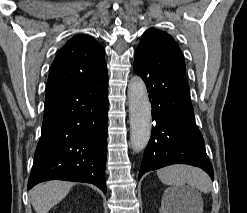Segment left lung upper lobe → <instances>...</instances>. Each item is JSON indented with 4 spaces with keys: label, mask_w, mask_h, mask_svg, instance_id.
Wrapping results in <instances>:
<instances>
[{
    "label": "left lung upper lobe",
    "mask_w": 247,
    "mask_h": 213,
    "mask_svg": "<svg viewBox=\"0 0 247 213\" xmlns=\"http://www.w3.org/2000/svg\"><path fill=\"white\" fill-rule=\"evenodd\" d=\"M134 62L185 65L183 53L172 36L157 29H149L143 34Z\"/></svg>",
    "instance_id": "obj_1"
}]
</instances>
